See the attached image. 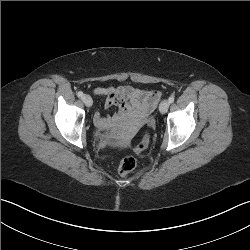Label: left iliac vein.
Masks as SVG:
<instances>
[{
  "label": "left iliac vein",
  "instance_id": "1",
  "mask_svg": "<svg viewBox=\"0 0 250 250\" xmlns=\"http://www.w3.org/2000/svg\"><path fill=\"white\" fill-rule=\"evenodd\" d=\"M169 101L167 100H163L161 103H160V106H159V111L164 114L167 112L168 108H169Z\"/></svg>",
  "mask_w": 250,
  "mask_h": 250
}]
</instances>
